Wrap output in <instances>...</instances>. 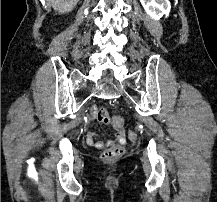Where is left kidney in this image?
Wrapping results in <instances>:
<instances>
[{
	"mask_svg": "<svg viewBox=\"0 0 217 202\" xmlns=\"http://www.w3.org/2000/svg\"><path fill=\"white\" fill-rule=\"evenodd\" d=\"M146 14L154 18V20H160L162 16H169L170 2L168 0H140Z\"/></svg>",
	"mask_w": 217,
	"mask_h": 202,
	"instance_id": "left-kidney-1",
	"label": "left kidney"
}]
</instances>
